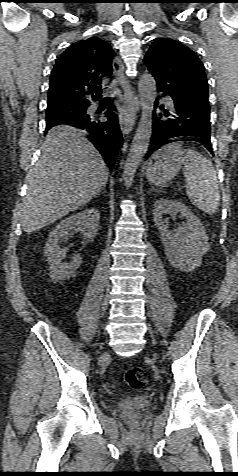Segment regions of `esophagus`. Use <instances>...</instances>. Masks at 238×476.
<instances>
[{
    "label": "esophagus",
    "mask_w": 238,
    "mask_h": 476,
    "mask_svg": "<svg viewBox=\"0 0 238 476\" xmlns=\"http://www.w3.org/2000/svg\"><path fill=\"white\" fill-rule=\"evenodd\" d=\"M113 69L118 83L124 91L125 105L120 111L119 124L123 134H128L132 131L136 114L139 109L138 98L134 91L130 88L127 77L124 74V64L119 57L113 59Z\"/></svg>",
    "instance_id": "obj_1"
}]
</instances>
